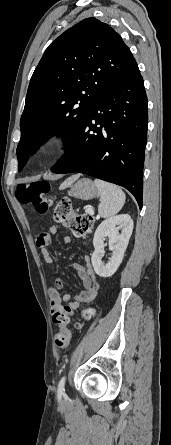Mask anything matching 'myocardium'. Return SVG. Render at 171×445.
I'll list each match as a JSON object with an SVG mask.
<instances>
[{
    "label": "myocardium",
    "mask_w": 171,
    "mask_h": 445,
    "mask_svg": "<svg viewBox=\"0 0 171 445\" xmlns=\"http://www.w3.org/2000/svg\"><path fill=\"white\" fill-rule=\"evenodd\" d=\"M65 144L66 137L64 135L52 134L44 140L41 150L44 154L51 155L61 150Z\"/></svg>",
    "instance_id": "1"
}]
</instances>
